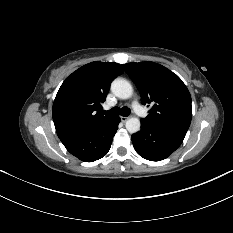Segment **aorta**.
Masks as SVG:
<instances>
[{
	"mask_svg": "<svg viewBox=\"0 0 233 233\" xmlns=\"http://www.w3.org/2000/svg\"><path fill=\"white\" fill-rule=\"evenodd\" d=\"M111 91L116 97L120 99H128L133 94V88L131 84L123 78H116L111 83ZM125 126L129 133H136L140 130L141 123L139 118L131 117L126 121Z\"/></svg>",
	"mask_w": 233,
	"mask_h": 233,
	"instance_id": "762f6f07",
	"label": "aorta"
}]
</instances>
